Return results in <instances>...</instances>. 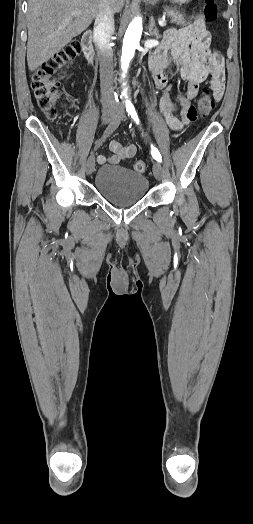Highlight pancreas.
Here are the masks:
<instances>
[{
    "label": "pancreas",
    "instance_id": "pancreas-1",
    "mask_svg": "<svg viewBox=\"0 0 253 524\" xmlns=\"http://www.w3.org/2000/svg\"><path fill=\"white\" fill-rule=\"evenodd\" d=\"M165 14L171 18L172 23H176L177 25H183L185 23V15L176 8L166 7Z\"/></svg>",
    "mask_w": 253,
    "mask_h": 524
}]
</instances>
